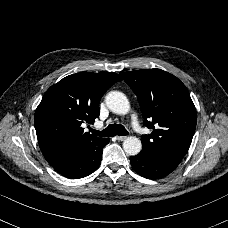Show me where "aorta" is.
I'll return each instance as SVG.
<instances>
[{"instance_id": "1", "label": "aorta", "mask_w": 228, "mask_h": 228, "mask_svg": "<svg viewBox=\"0 0 228 228\" xmlns=\"http://www.w3.org/2000/svg\"><path fill=\"white\" fill-rule=\"evenodd\" d=\"M105 102L109 110L115 114L125 115L130 110L129 100L124 93L119 91L109 92L105 97ZM141 148V141L137 137H127L123 142V149L130 156L137 155Z\"/></svg>"}]
</instances>
